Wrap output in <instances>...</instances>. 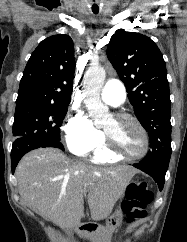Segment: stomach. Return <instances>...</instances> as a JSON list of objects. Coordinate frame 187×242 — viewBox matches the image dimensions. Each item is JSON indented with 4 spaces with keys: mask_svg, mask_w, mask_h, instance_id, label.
<instances>
[{
    "mask_svg": "<svg viewBox=\"0 0 187 242\" xmlns=\"http://www.w3.org/2000/svg\"><path fill=\"white\" fill-rule=\"evenodd\" d=\"M129 184H136V182L132 181ZM122 219L123 214L121 208L119 207L107 218L105 226L95 224L90 229V238L92 242H111L112 235L121 225Z\"/></svg>",
    "mask_w": 187,
    "mask_h": 242,
    "instance_id": "stomach-1",
    "label": "stomach"
}]
</instances>
